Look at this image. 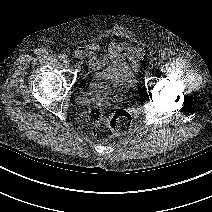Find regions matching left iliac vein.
<instances>
[{"mask_svg": "<svg viewBox=\"0 0 212 212\" xmlns=\"http://www.w3.org/2000/svg\"><path fill=\"white\" fill-rule=\"evenodd\" d=\"M146 75H147V76H149V75H150V72H149V71H147V72H146Z\"/></svg>", "mask_w": 212, "mask_h": 212, "instance_id": "obj_1", "label": "left iliac vein"}]
</instances>
